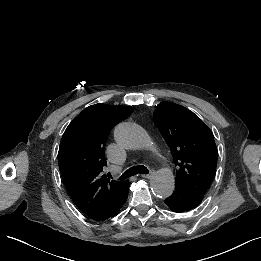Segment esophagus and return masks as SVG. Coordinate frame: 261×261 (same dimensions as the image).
<instances>
[{
  "label": "esophagus",
  "instance_id": "esophagus-1",
  "mask_svg": "<svg viewBox=\"0 0 261 261\" xmlns=\"http://www.w3.org/2000/svg\"><path fill=\"white\" fill-rule=\"evenodd\" d=\"M154 171L151 170L150 174H142L141 177L142 178H146V179H150L153 175Z\"/></svg>",
  "mask_w": 261,
  "mask_h": 261
}]
</instances>
